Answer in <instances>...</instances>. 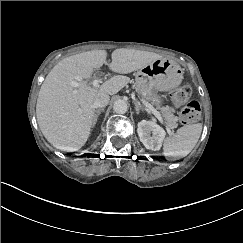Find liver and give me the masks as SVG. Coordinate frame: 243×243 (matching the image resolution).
I'll use <instances>...</instances> for the list:
<instances>
[{
	"instance_id": "liver-1",
	"label": "liver",
	"mask_w": 243,
	"mask_h": 243,
	"mask_svg": "<svg viewBox=\"0 0 243 243\" xmlns=\"http://www.w3.org/2000/svg\"><path fill=\"white\" fill-rule=\"evenodd\" d=\"M106 57L105 50L82 52L63 59L46 76L38 94L36 115L43 135L55 148L79 150L90 134L95 97L99 93L114 95L129 83V77L123 75L112 77L100 88L84 80L91 77L95 68L107 63ZM111 57L109 68L121 74L162 58L153 52L126 48L114 50Z\"/></svg>"
}]
</instances>
